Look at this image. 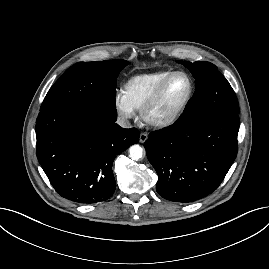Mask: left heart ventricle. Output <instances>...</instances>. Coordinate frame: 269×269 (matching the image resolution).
Here are the masks:
<instances>
[{
    "instance_id": "b2bd125f",
    "label": "left heart ventricle",
    "mask_w": 269,
    "mask_h": 269,
    "mask_svg": "<svg viewBox=\"0 0 269 269\" xmlns=\"http://www.w3.org/2000/svg\"><path fill=\"white\" fill-rule=\"evenodd\" d=\"M189 82L185 76H175L166 86L157 106L152 111L153 117L163 116L177 108L185 99Z\"/></svg>"
}]
</instances>
